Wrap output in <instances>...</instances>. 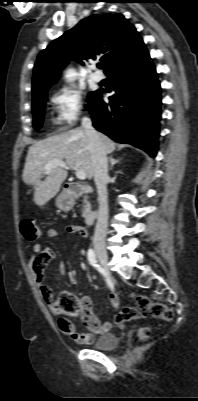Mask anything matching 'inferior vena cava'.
<instances>
[{"label": "inferior vena cava", "mask_w": 198, "mask_h": 401, "mask_svg": "<svg viewBox=\"0 0 198 401\" xmlns=\"http://www.w3.org/2000/svg\"><path fill=\"white\" fill-rule=\"evenodd\" d=\"M82 128L89 137L92 153L94 181L98 194L99 208L95 232L93 236L94 245H104L108 223V160L107 153L102 145L97 131L93 128L90 118H82Z\"/></svg>", "instance_id": "1"}]
</instances>
